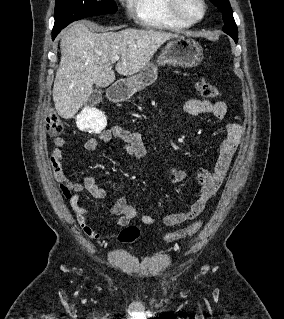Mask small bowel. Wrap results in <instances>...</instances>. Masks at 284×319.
I'll use <instances>...</instances> for the list:
<instances>
[{"label": "small bowel", "instance_id": "obj_1", "mask_svg": "<svg viewBox=\"0 0 284 319\" xmlns=\"http://www.w3.org/2000/svg\"><path fill=\"white\" fill-rule=\"evenodd\" d=\"M184 111L190 116L209 114L218 119H224L227 115L228 107L222 101L212 102L208 100L191 99L185 103ZM241 131V126L237 123H229L226 125L214 168L211 171L200 168L196 173V182L199 188L197 198L187 209L165 215L162 219L165 225H180L193 220L202 213L207 202L218 193L228 175L232 160L240 143ZM113 139H120L124 142L122 151L129 156L142 158L146 155V148L141 135L119 126L110 127L103 130L97 137L86 140L84 143V155L94 153L99 143H110ZM63 144L64 140L62 138H57L54 142V148L50 156L53 177L76 214L78 224L83 232L95 240L108 238L109 236L101 235L89 225V211L80 204V194L83 191H87L93 197L99 199L105 198L106 192L97 184L94 176H87L81 183L71 181L66 176L63 170L64 155L61 151ZM169 177L172 182L180 183L187 178V174L171 166L169 168ZM109 213L116 216V219L109 223V226L116 227H125L138 216L136 207L129 204L123 195L109 208ZM141 220L146 225H152L156 222L154 216L147 214L143 215Z\"/></svg>", "mask_w": 284, "mask_h": 319}]
</instances>
